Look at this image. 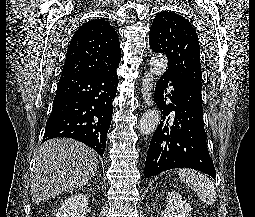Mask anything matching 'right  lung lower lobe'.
<instances>
[{"instance_id":"right-lung-lower-lobe-1","label":"right lung lower lobe","mask_w":255,"mask_h":217,"mask_svg":"<svg viewBox=\"0 0 255 217\" xmlns=\"http://www.w3.org/2000/svg\"><path fill=\"white\" fill-rule=\"evenodd\" d=\"M117 85L116 71L61 75L42 142L72 138L103 155Z\"/></svg>"}]
</instances>
